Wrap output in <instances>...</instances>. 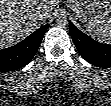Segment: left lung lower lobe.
<instances>
[{
	"mask_svg": "<svg viewBox=\"0 0 111 106\" xmlns=\"http://www.w3.org/2000/svg\"><path fill=\"white\" fill-rule=\"evenodd\" d=\"M72 40L82 57L97 67H111V45L99 43L69 23Z\"/></svg>",
	"mask_w": 111,
	"mask_h": 106,
	"instance_id": "1",
	"label": "left lung lower lobe"
}]
</instances>
